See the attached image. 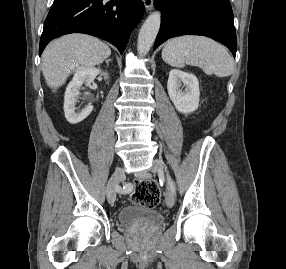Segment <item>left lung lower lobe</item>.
Returning <instances> with one entry per match:
<instances>
[{
  "mask_svg": "<svg viewBox=\"0 0 286 269\" xmlns=\"http://www.w3.org/2000/svg\"><path fill=\"white\" fill-rule=\"evenodd\" d=\"M154 6L163 11L154 49L169 38L193 34L219 41L235 57L237 38L229 0H154Z\"/></svg>",
  "mask_w": 286,
  "mask_h": 269,
  "instance_id": "obj_1",
  "label": "left lung lower lobe"
}]
</instances>
